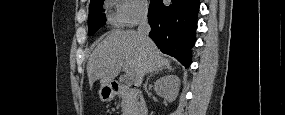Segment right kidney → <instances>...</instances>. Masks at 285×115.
<instances>
[{
  "instance_id": "obj_1",
  "label": "right kidney",
  "mask_w": 285,
  "mask_h": 115,
  "mask_svg": "<svg viewBox=\"0 0 285 115\" xmlns=\"http://www.w3.org/2000/svg\"><path fill=\"white\" fill-rule=\"evenodd\" d=\"M180 79L176 75H167L155 82V92L169 102H173L179 93Z\"/></svg>"
}]
</instances>
